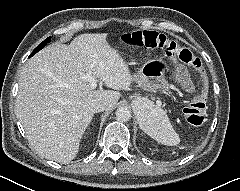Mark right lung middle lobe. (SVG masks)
I'll use <instances>...</instances> for the list:
<instances>
[{
    "label": "right lung middle lobe",
    "instance_id": "obj_1",
    "mask_svg": "<svg viewBox=\"0 0 240 191\" xmlns=\"http://www.w3.org/2000/svg\"><path fill=\"white\" fill-rule=\"evenodd\" d=\"M50 41V37H48L47 39H45L41 44L38 45V47H36L34 49V51L32 52V54L30 55L33 56L36 52H38L39 50H41L48 42Z\"/></svg>",
    "mask_w": 240,
    "mask_h": 191
}]
</instances>
